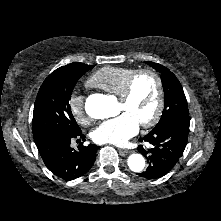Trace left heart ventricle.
Returning a JSON list of instances; mask_svg holds the SVG:
<instances>
[{
    "mask_svg": "<svg viewBox=\"0 0 221 221\" xmlns=\"http://www.w3.org/2000/svg\"><path fill=\"white\" fill-rule=\"evenodd\" d=\"M156 101V82L151 76L143 75L135 81L130 99L126 102L118 101L117 114L127 112L140 123L151 118Z\"/></svg>",
    "mask_w": 221,
    "mask_h": 221,
    "instance_id": "left-heart-ventricle-1",
    "label": "left heart ventricle"
}]
</instances>
